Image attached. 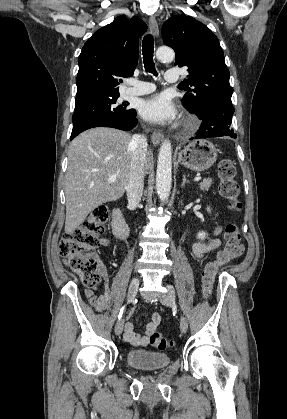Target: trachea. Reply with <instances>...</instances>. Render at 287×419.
I'll use <instances>...</instances> for the list:
<instances>
[{
	"instance_id": "obj_1",
	"label": "trachea",
	"mask_w": 287,
	"mask_h": 419,
	"mask_svg": "<svg viewBox=\"0 0 287 419\" xmlns=\"http://www.w3.org/2000/svg\"><path fill=\"white\" fill-rule=\"evenodd\" d=\"M143 63L146 72L157 76V71L153 62L154 39L152 35H146L142 42Z\"/></svg>"
}]
</instances>
